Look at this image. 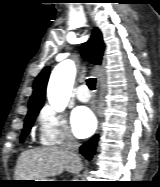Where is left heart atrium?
Instances as JSON below:
<instances>
[{
  "instance_id": "left-heart-atrium-1",
  "label": "left heart atrium",
  "mask_w": 160,
  "mask_h": 187,
  "mask_svg": "<svg viewBox=\"0 0 160 187\" xmlns=\"http://www.w3.org/2000/svg\"><path fill=\"white\" fill-rule=\"evenodd\" d=\"M72 126L77 136L89 137L96 128V120L92 112L84 106L77 107L72 113Z\"/></svg>"
}]
</instances>
